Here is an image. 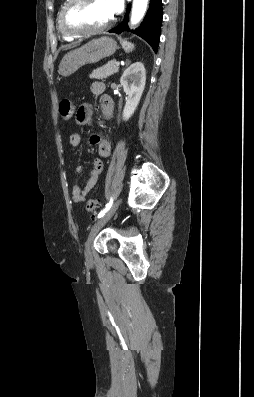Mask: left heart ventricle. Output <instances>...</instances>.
Masks as SVG:
<instances>
[{"label": "left heart ventricle", "instance_id": "left-heart-ventricle-1", "mask_svg": "<svg viewBox=\"0 0 254 397\" xmlns=\"http://www.w3.org/2000/svg\"><path fill=\"white\" fill-rule=\"evenodd\" d=\"M104 0H89L74 6L67 15V23L75 28H95L111 20Z\"/></svg>", "mask_w": 254, "mask_h": 397}]
</instances>
